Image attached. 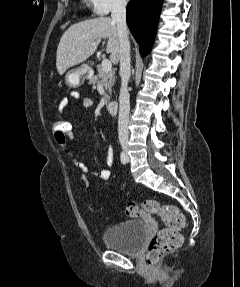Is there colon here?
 Masks as SVG:
<instances>
[{
    "instance_id": "obj_1",
    "label": "colon",
    "mask_w": 240,
    "mask_h": 287,
    "mask_svg": "<svg viewBox=\"0 0 240 287\" xmlns=\"http://www.w3.org/2000/svg\"><path fill=\"white\" fill-rule=\"evenodd\" d=\"M71 129V123L63 118L54 120L51 124L54 138L62 141L69 137ZM79 183L82 187L88 186L84 176L80 177ZM144 213L158 215L166 226L153 237L146 253L147 263L150 266H156L164 255L181 246L180 231L185 227V217L178 207L161 205L155 200L127 204L126 214L129 217L136 218Z\"/></svg>"
}]
</instances>
